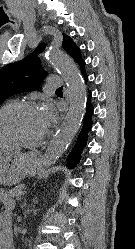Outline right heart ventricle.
I'll use <instances>...</instances> for the list:
<instances>
[{"mask_svg": "<svg viewBox=\"0 0 135 249\" xmlns=\"http://www.w3.org/2000/svg\"><path fill=\"white\" fill-rule=\"evenodd\" d=\"M0 144H6V143H4V142L0 141Z\"/></svg>", "mask_w": 135, "mask_h": 249, "instance_id": "right-heart-ventricle-1", "label": "right heart ventricle"}]
</instances>
